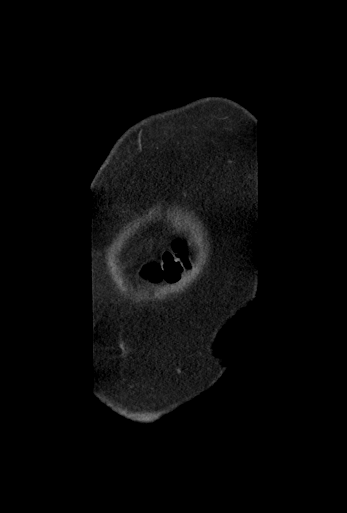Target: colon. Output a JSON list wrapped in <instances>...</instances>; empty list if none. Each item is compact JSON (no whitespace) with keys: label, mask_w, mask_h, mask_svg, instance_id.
I'll return each instance as SVG.
<instances>
[{"label":"colon","mask_w":347,"mask_h":513,"mask_svg":"<svg viewBox=\"0 0 347 513\" xmlns=\"http://www.w3.org/2000/svg\"><path fill=\"white\" fill-rule=\"evenodd\" d=\"M174 253L179 255L177 257L184 256L185 247L182 244L175 245ZM172 259L173 255L167 254L164 259V266L158 264H151L145 269V276L152 282H157L163 279L168 282L175 281L180 273V268L176 263L173 262Z\"/></svg>","instance_id":"5ec220e1"}]
</instances>
